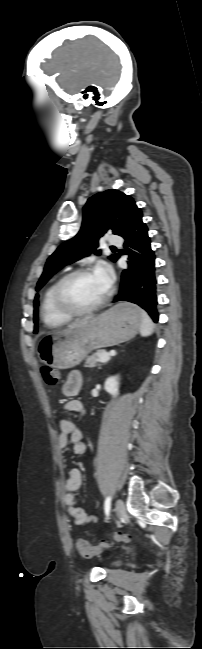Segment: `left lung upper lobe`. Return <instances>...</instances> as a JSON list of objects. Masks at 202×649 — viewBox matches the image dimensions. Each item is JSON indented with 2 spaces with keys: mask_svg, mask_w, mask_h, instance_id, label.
I'll use <instances>...</instances> for the list:
<instances>
[{
  "mask_svg": "<svg viewBox=\"0 0 202 649\" xmlns=\"http://www.w3.org/2000/svg\"><path fill=\"white\" fill-rule=\"evenodd\" d=\"M141 216L142 211L136 206L134 199L118 190H107L89 198L83 208L79 232L72 239L62 243L48 258L36 290H40L64 266L91 253L100 254V251H96L100 237L109 230L122 236L132 221ZM117 257V254H113L109 258L115 261ZM38 306L37 294L34 300V333L38 331Z\"/></svg>",
  "mask_w": 202,
  "mask_h": 649,
  "instance_id": "5c2ea615",
  "label": "left lung upper lobe"
}]
</instances>
